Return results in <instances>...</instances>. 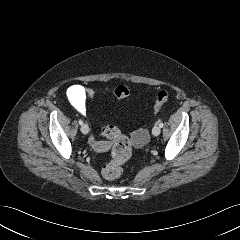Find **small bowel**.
<instances>
[{
    "instance_id": "c3829d8e",
    "label": "small bowel",
    "mask_w": 240,
    "mask_h": 240,
    "mask_svg": "<svg viewBox=\"0 0 240 240\" xmlns=\"http://www.w3.org/2000/svg\"><path fill=\"white\" fill-rule=\"evenodd\" d=\"M67 98L70 104L81 114L86 112V92L81 85H73L67 90ZM148 133L144 129L137 130L132 136L133 143L136 147H141L146 143ZM89 144L97 152H105L111 147L108 141H98L94 137L89 138Z\"/></svg>"
}]
</instances>
